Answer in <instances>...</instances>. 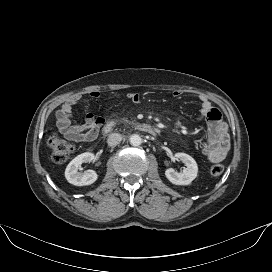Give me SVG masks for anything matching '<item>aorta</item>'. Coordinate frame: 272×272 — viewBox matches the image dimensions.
<instances>
[{
  "instance_id": "762f6f07",
  "label": "aorta",
  "mask_w": 272,
  "mask_h": 272,
  "mask_svg": "<svg viewBox=\"0 0 272 272\" xmlns=\"http://www.w3.org/2000/svg\"><path fill=\"white\" fill-rule=\"evenodd\" d=\"M142 143V138L138 134H133L130 136V144L132 146H139Z\"/></svg>"
}]
</instances>
